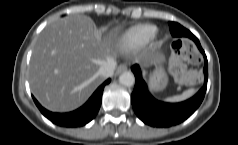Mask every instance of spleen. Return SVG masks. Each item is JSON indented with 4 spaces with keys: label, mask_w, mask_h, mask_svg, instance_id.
<instances>
[{
    "label": "spleen",
    "mask_w": 238,
    "mask_h": 145,
    "mask_svg": "<svg viewBox=\"0 0 238 145\" xmlns=\"http://www.w3.org/2000/svg\"><path fill=\"white\" fill-rule=\"evenodd\" d=\"M195 93H196V89L190 88L184 91L181 95H176V96L167 98L166 101H169V102L183 101L192 97Z\"/></svg>",
    "instance_id": "3e777b00"
}]
</instances>
